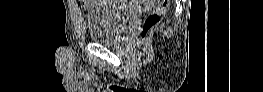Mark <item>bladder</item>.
<instances>
[{
    "label": "bladder",
    "instance_id": "bladder-1",
    "mask_svg": "<svg viewBox=\"0 0 263 92\" xmlns=\"http://www.w3.org/2000/svg\"><path fill=\"white\" fill-rule=\"evenodd\" d=\"M117 1H95L87 14L89 37L92 41L117 45L129 31L137 16L131 8H118Z\"/></svg>",
    "mask_w": 263,
    "mask_h": 92
}]
</instances>
